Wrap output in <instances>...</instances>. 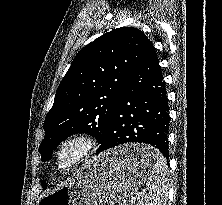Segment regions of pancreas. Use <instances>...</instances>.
I'll use <instances>...</instances> for the list:
<instances>
[{"label":"pancreas","mask_w":222,"mask_h":205,"mask_svg":"<svg viewBox=\"0 0 222 205\" xmlns=\"http://www.w3.org/2000/svg\"><path fill=\"white\" fill-rule=\"evenodd\" d=\"M119 205H127V204H125V203H119Z\"/></svg>","instance_id":"1"}]
</instances>
